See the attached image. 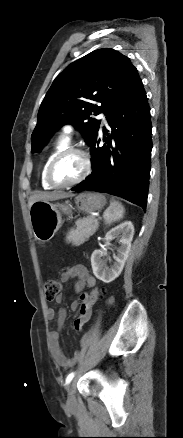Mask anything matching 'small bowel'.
Here are the masks:
<instances>
[{
    "instance_id": "c3829d8e",
    "label": "small bowel",
    "mask_w": 183,
    "mask_h": 438,
    "mask_svg": "<svg viewBox=\"0 0 183 438\" xmlns=\"http://www.w3.org/2000/svg\"><path fill=\"white\" fill-rule=\"evenodd\" d=\"M76 278V282L73 285V291L74 293L78 294L80 293L84 287H93L95 285V278L93 276L90 275L89 271L87 270V268L83 265H75L72 267H67L63 270L62 274H61V281L62 282H68L71 279ZM88 293H84L81 295V303H79L78 301H73L70 305L72 310H77L79 309L80 314L77 318H75L74 322H73V329L75 331H81V329L83 328V326L89 321L90 317H91V311L86 314V315H82L81 314V304H82V296L83 295H87ZM55 301L57 303H61L63 301V297L60 294L59 296H57V298L55 299ZM110 303V300H109ZM47 316L49 320H56L57 325H58V329L60 330L66 320L67 317V311L65 308H60L58 311H56L53 308H49L47 310ZM51 351H52V356L54 359V362L62 367H71L76 359L75 358H69L67 357L60 344H59V332L55 331L51 334Z\"/></svg>"
}]
</instances>
